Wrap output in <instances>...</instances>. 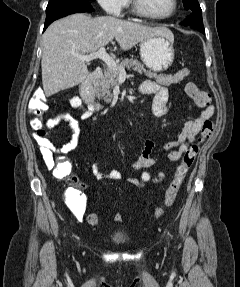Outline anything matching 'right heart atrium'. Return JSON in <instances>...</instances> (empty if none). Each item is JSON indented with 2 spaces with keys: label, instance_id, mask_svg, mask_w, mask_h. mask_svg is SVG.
I'll return each mask as SVG.
<instances>
[{
  "label": "right heart atrium",
  "instance_id": "1",
  "mask_svg": "<svg viewBox=\"0 0 240 287\" xmlns=\"http://www.w3.org/2000/svg\"><path fill=\"white\" fill-rule=\"evenodd\" d=\"M99 5L110 15L120 16L128 0H97Z\"/></svg>",
  "mask_w": 240,
  "mask_h": 287
}]
</instances>
